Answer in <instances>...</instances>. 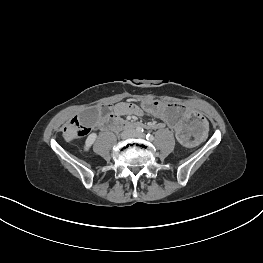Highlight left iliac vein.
<instances>
[{"mask_svg": "<svg viewBox=\"0 0 263 263\" xmlns=\"http://www.w3.org/2000/svg\"><path fill=\"white\" fill-rule=\"evenodd\" d=\"M138 136H139V137H142V138L145 137V135H144L143 133L138 134Z\"/></svg>", "mask_w": 263, "mask_h": 263, "instance_id": "left-iliac-vein-1", "label": "left iliac vein"}]
</instances>
